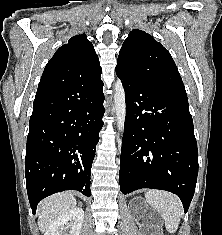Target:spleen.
<instances>
[{"label":"spleen","mask_w":222,"mask_h":235,"mask_svg":"<svg viewBox=\"0 0 222 235\" xmlns=\"http://www.w3.org/2000/svg\"><path fill=\"white\" fill-rule=\"evenodd\" d=\"M147 203L156 210L165 222L167 231L174 234L183 214V206L178 196L161 190H149L145 194Z\"/></svg>","instance_id":"obj_1"}]
</instances>
